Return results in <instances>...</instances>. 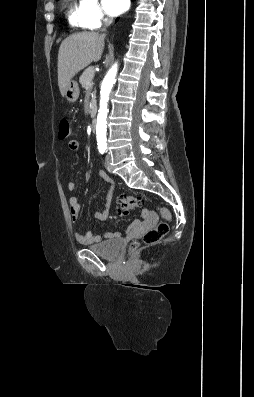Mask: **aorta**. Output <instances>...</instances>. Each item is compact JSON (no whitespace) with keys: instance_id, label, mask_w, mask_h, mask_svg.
<instances>
[{"instance_id":"aorta-1","label":"aorta","mask_w":254,"mask_h":397,"mask_svg":"<svg viewBox=\"0 0 254 397\" xmlns=\"http://www.w3.org/2000/svg\"><path fill=\"white\" fill-rule=\"evenodd\" d=\"M117 64H114L107 72L101 86L100 108L97 117L96 135L99 147H106V128L108 100L111 89L116 81Z\"/></svg>"}]
</instances>
